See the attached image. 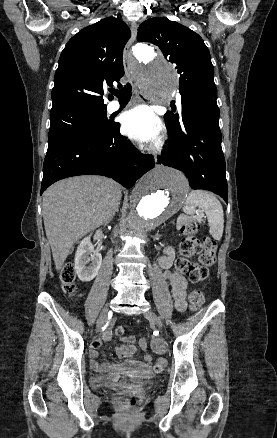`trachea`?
Listing matches in <instances>:
<instances>
[{
    "mask_svg": "<svg viewBox=\"0 0 277 438\" xmlns=\"http://www.w3.org/2000/svg\"><path fill=\"white\" fill-rule=\"evenodd\" d=\"M109 92L115 95L119 100H130L132 87L130 83H127L123 88H120V90H109Z\"/></svg>",
    "mask_w": 277,
    "mask_h": 438,
    "instance_id": "3493384b",
    "label": "trachea"
}]
</instances>
